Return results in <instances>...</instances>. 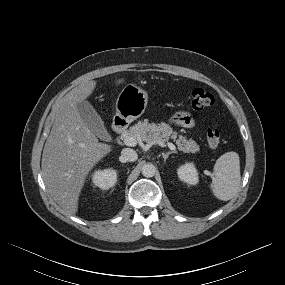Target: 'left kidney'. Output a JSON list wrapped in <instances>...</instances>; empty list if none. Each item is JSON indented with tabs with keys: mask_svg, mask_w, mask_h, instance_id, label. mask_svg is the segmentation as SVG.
Returning a JSON list of instances; mask_svg holds the SVG:
<instances>
[{
	"mask_svg": "<svg viewBox=\"0 0 285 285\" xmlns=\"http://www.w3.org/2000/svg\"><path fill=\"white\" fill-rule=\"evenodd\" d=\"M178 177L181 181L196 185L199 182V177L195 165L193 163H186L177 169Z\"/></svg>",
	"mask_w": 285,
	"mask_h": 285,
	"instance_id": "5707ae66",
	"label": "left kidney"
}]
</instances>
